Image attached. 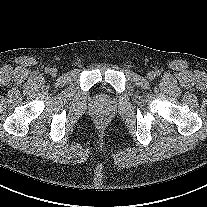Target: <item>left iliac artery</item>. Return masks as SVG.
Returning a JSON list of instances; mask_svg holds the SVG:
<instances>
[{
    "label": "left iliac artery",
    "mask_w": 207,
    "mask_h": 207,
    "mask_svg": "<svg viewBox=\"0 0 207 207\" xmlns=\"http://www.w3.org/2000/svg\"><path fill=\"white\" fill-rule=\"evenodd\" d=\"M155 75L159 76V75H160V71L157 70V71L155 72Z\"/></svg>",
    "instance_id": "1"
}]
</instances>
